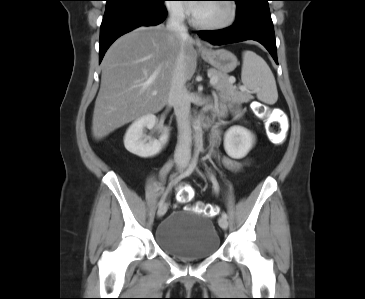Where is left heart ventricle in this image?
<instances>
[{"mask_svg":"<svg viewBox=\"0 0 365 299\" xmlns=\"http://www.w3.org/2000/svg\"><path fill=\"white\" fill-rule=\"evenodd\" d=\"M198 5L194 14L200 22L217 24L226 21L230 16V6L228 2H208Z\"/></svg>","mask_w":365,"mask_h":299,"instance_id":"b2bd125f","label":"left heart ventricle"}]
</instances>
